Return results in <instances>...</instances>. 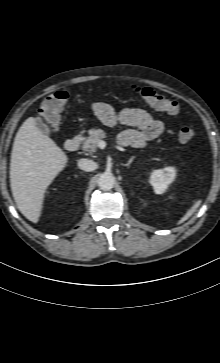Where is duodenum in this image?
<instances>
[{"label":"duodenum","mask_w":220,"mask_h":363,"mask_svg":"<svg viewBox=\"0 0 220 363\" xmlns=\"http://www.w3.org/2000/svg\"><path fill=\"white\" fill-rule=\"evenodd\" d=\"M82 133H78L65 142V149L68 151H77L82 142Z\"/></svg>","instance_id":"1"}]
</instances>
